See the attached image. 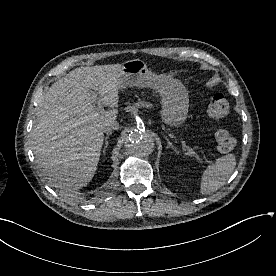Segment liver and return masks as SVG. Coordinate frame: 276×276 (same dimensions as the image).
I'll return each mask as SVG.
<instances>
[{
  "instance_id": "6515ba94",
  "label": "liver",
  "mask_w": 276,
  "mask_h": 276,
  "mask_svg": "<svg viewBox=\"0 0 276 276\" xmlns=\"http://www.w3.org/2000/svg\"><path fill=\"white\" fill-rule=\"evenodd\" d=\"M121 69L122 64L76 68L53 83L39 104L33 127L35 160L60 193L76 196L97 170L103 126L117 118L118 110L98 112L94 105L98 99L118 107Z\"/></svg>"
}]
</instances>
